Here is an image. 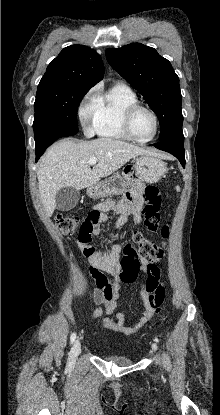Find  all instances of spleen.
<instances>
[{"label": "spleen", "instance_id": "spleen-1", "mask_svg": "<svg viewBox=\"0 0 220 415\" xmlns=\"http://www.w3.org/2000/svg\"><path fill=\"white\" fill-rule=\"evenodd\" d=\"M176 190H177V191H180V187H179V186H177V187H176Z\"/></svg>", "mask_w": 220, "mask_h": 415}]
</instances>
